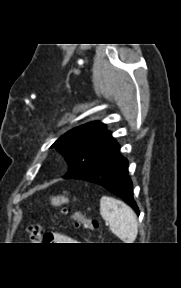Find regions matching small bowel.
I'll list each match as a JSON object with an SVG mask.
<instances>
[{
    "mask_svg": "<svg viewBox=\"0 0 181 288\" xmlns=\"http://www.w3.org/2000/svg\"><path fill=\"white\" fill-rule=\"evenodd\" d=\"M51 242L53 243H79L76 239L71 236L61 234V233H52Z\"/></svg>",
    "mask_w": 181,
    "mask_h": 288,
    "instance_id": "1",
    "label": "small bowel"
}]
</instances>
